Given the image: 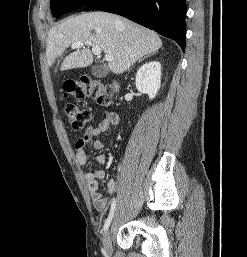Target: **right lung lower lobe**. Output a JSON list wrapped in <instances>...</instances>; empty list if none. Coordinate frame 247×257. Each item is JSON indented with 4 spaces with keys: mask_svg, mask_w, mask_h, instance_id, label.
Here are the masks:
<instances>
[{
    "mask_svg": "<svg viewBox=\"0 0 247 257\" xmlns=\"http://www.w3.org/2000/svg\"><path fill=\"white\" fill-rule=\"evenodd\" d=\"M84 10L124 16L173 39L185 51V0H94Z\"/></svg>",
    "mask_w": 247,
    "mask_h": 257,
    "instance_id": "obj_1",
    "label": "right lung lower lobe"
}]
</instances>
